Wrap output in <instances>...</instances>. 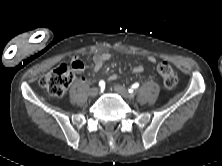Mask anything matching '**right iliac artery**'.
<instances>
[{
	"label": "right iliac artery",
	"mask_w": 222,
	"mask_h": 166,
	"mask_svg": "<svg viewBox=\"0 0 222 166\" xmlns=\"http://www.w3.org/2000/svg\"><path fill=\"white\" fill-rule=\"evenodd\" d=\"M99 86H100L101 88H104L105 82H104L103 80H101V81L99 82Z\"/></svg>",
	"instance_id": "obj_1"
}]
</instances>
